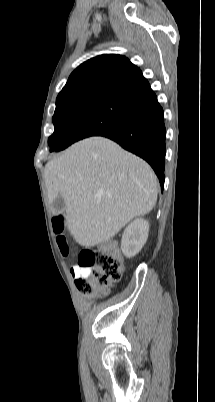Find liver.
Segmentation results:
<instances>
[{
    "instance_id": "liver-1",
    "label": "liver",
    "mask_w": 215,
    "mask_h": 402,
    "mask_svg": "<svg viewBox=\"0 0 215 402\" xmlns=\"http://www.w3.org/2000/svg\"><path fill=\"white\" fill-rule=\"evenodd\" d=\"M50 205L58 196L74 240L90 248L113 238L133 218L148 214L156 204L158 180L142 159L103 137L70 146L45 165Z\"/></svg>"
}]
</instances>
